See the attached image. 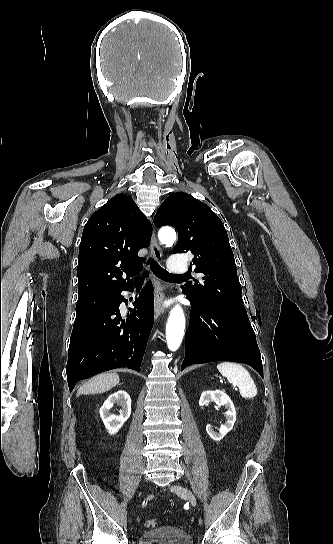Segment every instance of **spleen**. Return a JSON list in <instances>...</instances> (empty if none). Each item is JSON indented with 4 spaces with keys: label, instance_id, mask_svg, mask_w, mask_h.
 I'll use <instances>...</instances> for the list:
<instances>
[{
    "label": "spleen",
    "instance_id": "1",
    "mask_svg": "<svg viewBox=\"0 0 333 544\" xmlns=\"http://www.w3.org/2000/svg\"><path fill=\"white\" fill-rule=\"evenodd\" d=\"M217 369L230 383L239 387L243 398L250 399L257 395V388L253 379L249 372L240 364L222 362L217 365Z\"/></svg>",
    "mask_w": 333,
    "mask_h": 544
}]
</instances>
